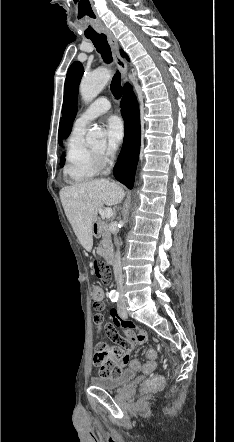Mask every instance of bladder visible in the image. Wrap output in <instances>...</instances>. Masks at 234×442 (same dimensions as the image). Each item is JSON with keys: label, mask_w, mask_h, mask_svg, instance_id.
I'll return each mask as SVG.
<instances>
[{"label": "bladder", "mask_w": 234, "mask_h": 442, "mask_svg": "<svg viewBox=\"0 0 234 442\" xmlns=\"http://www.w3.org/2000/svg\"><path fill=\"white\" fill-rule=\"evenodd\" d=\"M136 373L133 369H124L114 375H99L91 378L92 385L104 389L115 390L134 379Z\"/></svg>", "instance_id": "1"}]
</instances>
